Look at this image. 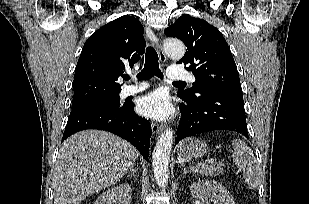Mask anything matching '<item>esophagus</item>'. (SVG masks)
I'll list each match as a JSON object with an SVG mask.
<instances>
[{"mask_svg": "<svg viewBox=\"0 0 309 204\" xmlns=\"http://www.w3.org/2000/svg\"><path fill=\"white\" fill-rule=\"evenodd\" d=\"M161 38H162V33H159L156 36H154L151 40H152V43H153L154 47L156 48V50L158 52L160 61L162 63H165L167 58H166V55H165L164 50H163ZM151 128H152V132L154 134H160L162 132V130H163V126L159 125V124H157L155 122H153L151 124Z\"/></svg>", "mask_w": 309, "mask_h": 204, "instance_id": "obj_1", "label": "esophagus"}]
</instances>
